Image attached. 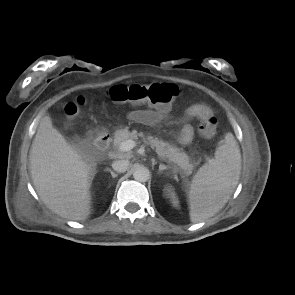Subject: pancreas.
<instances>
[{"label":"pancreas","mask_w":295,"mask_h":295,"mask_svg":"<svg viewBox=\"0 0 295 295\" xmlns=\"http://www.w3.org/2000/svg\"><path fill=\"white\" fill-rule=\"evenodd\" d=\"M138 137H141L145 144L155 149L161 160L170 163L174 168L179 167L183 174H190L192 172L194 165L185 152L175 145L159 140L151 135L145 136L144 133L137 132V130L129 131L128 127L116 130L114 133V146L118 147L128 139L137 140Z\"/></svg>","instance_id":"pancreas-1"}]
</instances>
